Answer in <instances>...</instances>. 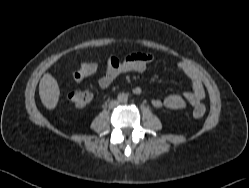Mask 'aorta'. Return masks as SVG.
Here are the masks:
<instances>
[{
	"mask_svg": "<svg viewBox=\"0 0 249 188\" xmlns=\"http://www.w3.org/2000/svg\"><path fill=\"white\" fill-rule=\"evenodd\" d=\"M119 103H126L128 101V94L127 93H119L117 96Z\"/></svg>",
	"mask_w": 249,
	"mask_h": 188,
	"instance_id": "aorta-1",
	"label": "aorta"
}]
</instances>
